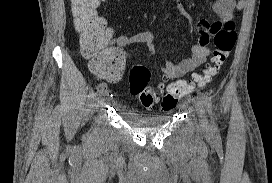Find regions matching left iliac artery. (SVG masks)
<instances>
[{"instance_id": "left-iliac-artery-1", "label": "left iliac artery", "mask_w": 272, "mask_h": 183, "mask_svg": "<svg viewBox=\"0 0 272 183\" xmlns=\"http://www.w3.org/2000/svg\"><path fill=\"white\" fill-rule=\"evenodd\" d=\"M199 98L202 100V102L205 105V107H206V109H207V111L209 113V116L211 118V130H212V133L216 137H218L219 136V131H218V126H217L216 121H215L213 105H212L211 99L208 96L204 95V94H200Z\"/></svg>"}]
</instances>
